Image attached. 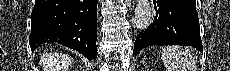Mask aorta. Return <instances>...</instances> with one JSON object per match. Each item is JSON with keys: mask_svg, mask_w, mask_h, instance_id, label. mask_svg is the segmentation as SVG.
<instances>
[{"mask_svg": "<svg viewBox=\"0 0 230 71\" xmlns=\"http://www.w3.org/2000/svg\"><path fill=\"white\" fill-rule=\"evenodd\" d=\"M153 20V11L148 0H138L134 25L138 30H146Z\"/></svg>", "mask_w": 230, "mask_h": 71, "instance_id": "obj_1", "label": "aorta"}]
</instances>
